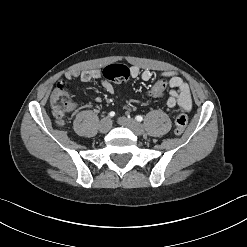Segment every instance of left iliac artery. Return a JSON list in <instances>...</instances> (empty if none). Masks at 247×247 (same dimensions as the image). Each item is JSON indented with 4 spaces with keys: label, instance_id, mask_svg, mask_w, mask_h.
Here are the masks:
<instances>
[{
    "label": "left iliac artery",
    "instance_id": "44dca946",
    "mask_svg": "<svg viewBox=\"0 0 247 247\" xmlns=\"http://www.w3.org/2000/svg\"><path fill=\"white\" fill-rule=\"evenodd\" d=\"M135 119L138 121V122H141L143 120V117L141 115H137L135 117Z\"/></svg>",
    "mask_w": 247,
    "mask_h": 247
}]
</instances>
